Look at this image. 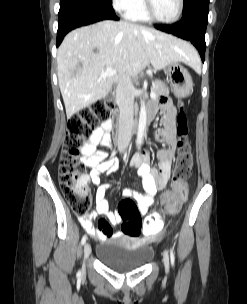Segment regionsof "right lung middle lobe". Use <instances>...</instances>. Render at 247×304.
Returning a JSON list of instances; mask_svg holds the SVG:
<instances>
[{
    "mask_svg": "<svg viewBox=\"0 0 247 304\" xmlns=\"http://www.w3.org/2000/svg\"><path fill=\"white\" fill-rule=\"evenodd\" d=\"M89 1H96V2H101V3H106V4H112V0H89Z\"/></svg>",
    "mask_w": 247,
    "mask_h": 304,
    "instance_id": "dd1d6c3e",
    "label": "right lung middle lobe"
}]
</instances>
